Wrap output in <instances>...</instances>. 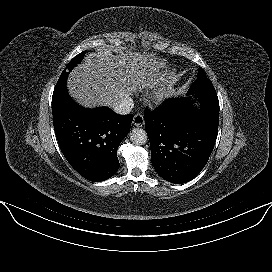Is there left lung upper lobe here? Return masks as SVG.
I'll use <instances>...</instances> for the list:
<instances>
[{
	"label": "left lung upper lobe",
	"mask_w": 272,
	"mask_h": 272,
	"mask_svg": "<svg viewBox=\"0 0 272 272\" xmlns=\"http://www.w3.org/2000/svg\"><path fill=\"white\" fill-rule=\"evenodd\" d=\"M215 90L211 82L206 77L204 71L199 68L198 78L190 87L188 93L189 94H197L204 91H212Z\"/></svg>",
	"instance_id": "1"
}]
</instances>
